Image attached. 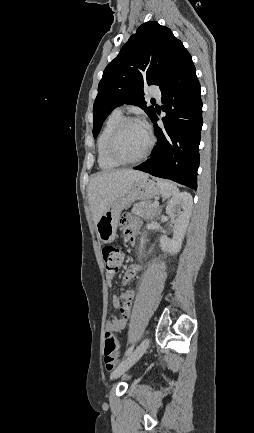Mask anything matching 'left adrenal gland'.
Here are the masks:
<instances>
[{"label":"left adrenal gland","instance_id":"obj_1","mask_svg":"<svg viewBox=\"0 0 254 433\" xmlns=\"http://www.w3.org/2000/svg\"><path fill=\"white\" fill-rule=\"evenodd\" d=\"M161 210H162V206L160 207V212H161Z\"/></svg>","mask_w":254,"mask_h":433}]
</instances>
